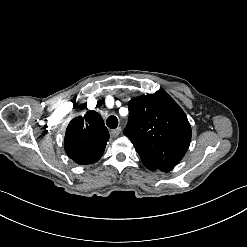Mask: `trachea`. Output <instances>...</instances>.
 Instances as JSON below:
<instances>
[{
    "instance_id": "3493384b",
    "label": "trachea",
    "mask_w": 247,
    "mask_h": 247,
    "mask_svg": "<svg viewBox=\"0 0 247 247\" xmlns=\"http://www.w3.org/2000/svg\"><path fill=\"white\" fill-rule=\"evenodd\" d=\"M107 126L111 129H115L118 126V119L115 116H110L107 119Z\"/></svg>"
}]
</instances>
